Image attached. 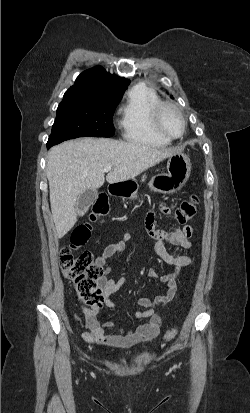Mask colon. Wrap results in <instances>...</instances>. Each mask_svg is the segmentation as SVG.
<instances>
[{
	"label": "colon",
	"instance_id": "1",
	"mask_svg": "<svg viewBox=\"0 0 250 413\" xmlns=\"http://www.w3.org/2000/svg\"><path fill=\"white\" fill-rule=\"evenodd\" d=\"M197 197L191 196L173 210V217L179 224H185L196 214ZM109 205L105 196H99L91 208V220L106 215ZM92 232L89 224L78 226L73 232L71 244L61 250L60 267L65 278L72 281L78 301L88 307H100L103 301L99 279L104 275V269L94 262L91 253L82 252L74 257L73 250L87 244ZM176 327L170 328L164 335V341H171L177 334Z\"/></svg>",
	"mask_w": 250,
	"mask_h": 413
}]
</instances>
